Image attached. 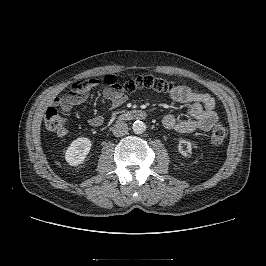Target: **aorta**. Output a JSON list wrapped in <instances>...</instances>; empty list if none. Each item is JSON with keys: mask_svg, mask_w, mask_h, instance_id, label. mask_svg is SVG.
Here are the masks:
<instances>
[{"mask_svg": "<svg viewBox=\"0 0 266 266\" xmlns=\"http://www.w3.org/2000/svg\"><path fill=\"white\" fill-rule=\"evenodd\" d=\"M132 129L135 134H142L146 130V124L143 121L137 120L133 123Z\"/></svg>", "mask_w": 266, "mask_h": 266, "instance_id": "obj_1", "label": "aorta"}]
</instances>
